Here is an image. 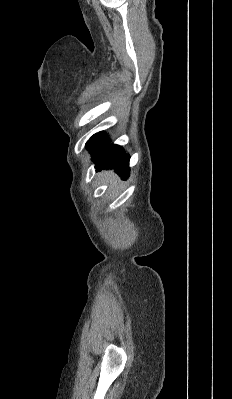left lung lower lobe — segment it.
Instances as JSON below:
<instances>
[{"label":"left lung lower lobe","mask_w":232,"mask_h":399,"mask_svg":"<svg viewBox=\"0 0 232 399\" xmlns=\"http://www.w3.org/2000/svg\"><path fill=\"white\" fill-rule=\"evenodd\" d=\"M92 161L97 170L114 169L123 179L130 175V156L125 153L121 146L104 143L99 149L91 151Z\"/></svg>","instance_id":"left-lung-lower-lobe-1"}]
</instances>
